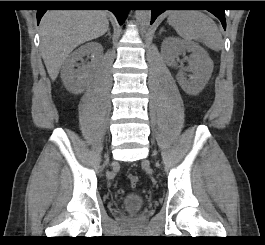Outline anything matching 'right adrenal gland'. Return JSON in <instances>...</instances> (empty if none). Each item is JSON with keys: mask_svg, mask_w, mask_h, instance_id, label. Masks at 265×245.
Returning a JSON list of instances; mask_svg holds the SVG:
<instances>
[{"mask_svg": "<svg viewBox=\"0 0 265 245\" xmlns=\"http://www.w3.org/2000/svg\"><path fill=\"white\" fill-rule=\"evenodd\" d=\"M106 36L111 37L110 29L108 28Z\"/></svg>", "mask_w": 265, "mask_h": 245, "instance_id": "1", "label": "right adrenal gland"}]
</instances>
